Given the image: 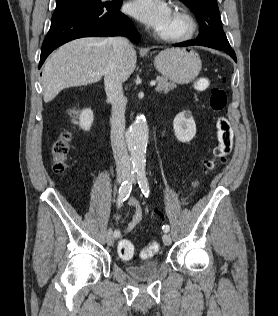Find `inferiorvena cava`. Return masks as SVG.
Returning a JSON list of instances; mask_svg holds the SVG:
<instances>
[{"label": "inferior vena cava", "mask_w": 278, "mask_h": 316, "mask_svg": "<svg viewBox=\"0 0 278 316\" xmlns=\"http://www.w3.org/2000/svg\"><path fill=\"white\" fill-rule=\"evenodd\" d=\"M112 55L105 69L104 84L108 101L112 104L111 145L118 173L131 169L130 159L124 141L126 98L119 77V64L125 50L129 47L128 39L113 37L110 39Z\"/></svg>", "instance_id": "1"}]
</instances>
